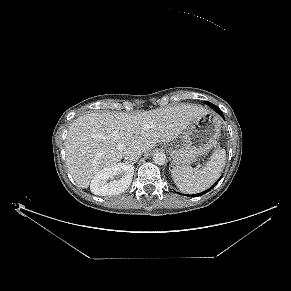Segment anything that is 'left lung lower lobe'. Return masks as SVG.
Returning <instances> with one entry per match:
<instances>
[{"instance_id": "obj_1", "label": "left lung lower lobe", "mask_w": 291, "mask_h": 291, "mask_svg": "<svg viewBox=\"0 0 291 291\" xmlns=\"http://www.w3.org/2000/svg\"><path fill=\"white\" fill-rule=\"evenodd\" d=\"M212 109H214L219 115H221L224 118L221 110L217 106H213ZM198 195H200V194H198Z\"/></svg>"}]
</instances>
